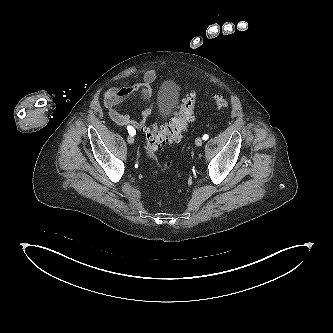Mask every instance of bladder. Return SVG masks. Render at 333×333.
<instances>
[{
    "label": "bladder",
    "mask_w": 333,
    "mask_h": 333,
    "mask_svg": "<svg viewBox=\"0 0 333 333\" xmlns=\"http://www.w3.org/2000/svg\"><path fill=\"white\" fill-rule=\"evenodd\" d=\"M179 86L172 80L164 81L157 94V110L166 115L176 105L179 99Z\"/></svg>",
    "instance_id": "1"
}]
</instances>
